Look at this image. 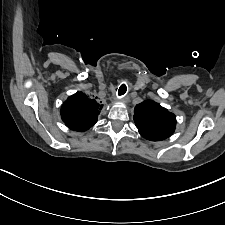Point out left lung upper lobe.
<instances>
[{
  "label": "left lung upper lobe",
  "mask_w": 225,
  "mask_h": 225,
  "mask_svg": "<svg viewBox=\"0 0 225 225\" xmlns=\"http://www.w3.org/2000/svg\"><path fill=\"white\" fill-rule=\"evenodd\" d=\"M134 121L140 134L151 141L170 137L176 127L175 115L152 100L136 105Z\"/></svg>",
  "instance_id": "left-lung-upper-lobe-1"
}]
</instances>
